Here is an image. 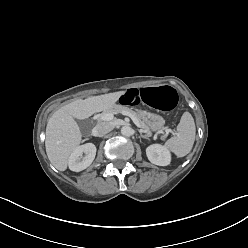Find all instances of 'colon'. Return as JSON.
I'll list each match as a JSON object with an SVG mask.
<instances>
[{"label":"colon","instance_id":"5ec220e1","mask_svg":"<svg viewBox=\"0 0 248 248\" xmlns=\"http://www.w3.org/2000/svg\"><path fill=\"white\" fill-rule=\"evenodd\" d=\"M125 105L147 103L161 111H171L178 103L176 91L169 86L151 88H131L121 96Z\"/></svg>","mask_w":248,"mask_h":248}]
</instances>
